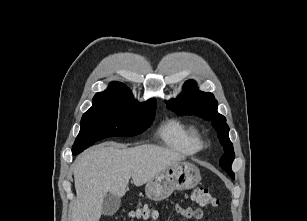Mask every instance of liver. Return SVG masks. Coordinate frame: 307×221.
Masks as SVG:
<instances>
[{
  "mask_svg": "<svg viewBox=\"0 0 307 221\" xmlns=\"http://www.w3.org/2000/svg\"><path fill=\"white\" fill-rule=\"evenodd\" d=\"M184 159L182 154L156 145L100 144L88 149L73 164L77 197L72 221H99L106 194L123 197L130 178L141 186Z\"/></svg>",
  "mask_w": 307,
  "mask_h": 221,
  "instance_id": "1",
  "label": "liver"
}]
</instances>
